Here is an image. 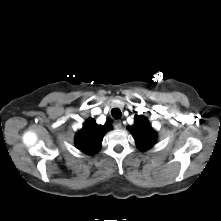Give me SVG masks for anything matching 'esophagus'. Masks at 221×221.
<instances>
[{"label":"esophagus","mask_w":221,"mask_h":221,"mask_svg":"<svg viewBox=\"0 0 221 221\" xmlns=\"http://www.w3.org/2000/svg\"><path fill=\"white\" fill-rule=\"evenodd\" d=\"M114 127H115L116 129L122 128V123H121V121H120V120H116V121L114 122Z\"/></svg>","instance_id":"obj_1"}]
</instances>
